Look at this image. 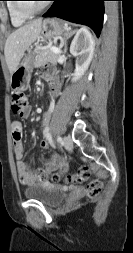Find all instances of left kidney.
<instances>
[{"mask_svg": "<svg viewBox=\"0 0 133 253\" xmlns=\"http://www.w3.org/2000/svg\"><path fill=\"white\" fill-rule=\"evenodd\" d=\"M94 49L95 42L90 31L86 28L79 29L70 45V53L76 57L73 81L81 78L88 69L94 55Z\"/></svg>", "mask_w": 133, "mask_h": 253, "instance_id": "obj_1", "label": "left kidney"}]
</instances>
